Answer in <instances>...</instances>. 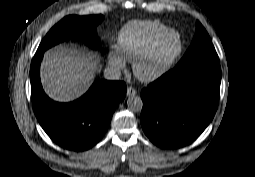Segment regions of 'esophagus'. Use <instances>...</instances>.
I'll use <instances>...</instances> for the list:
<instances>
[{
    "mask_svg": "<svg viewBox=\"0 0 255 177\" xmlns=\"http://www.w3.org/2000/svg\"><path fill=\"white\" fill-rule=\"evenodd\" d=\"M136 94H137V91L134 88L128 87V89H127V96L128 97H133Z\"/></svg>",
    "mask_w": 255,
    "mask_h": 177,
    "instance_id": "1",
    "label": "esophagus"
}]
</instances>
